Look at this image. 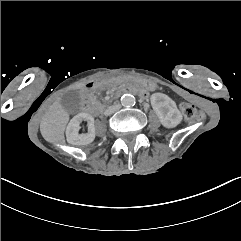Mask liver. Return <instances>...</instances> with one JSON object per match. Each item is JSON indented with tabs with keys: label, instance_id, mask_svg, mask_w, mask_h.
<instances>
[{
	"label": "liver",
	"instance_id": "liver-1",
	"mask_svg": "<svg viewBox=\"0 0 241 241\" xmlns=\"http://www.w3.org/2000/svg\"><path fill=\"white\" fill-rule=\"evenodd\" d=\"M88 82L79 84L76 89L86 86ZM70 114L60 101H55L41 120L40 132L49 144L64 145V132L69 122Z\"/></svg>",
	"mask_w": 241,
	"mask_h": 241
}]
</instances>
